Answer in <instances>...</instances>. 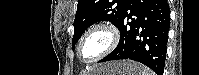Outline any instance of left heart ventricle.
Masks as SVG:
<instances>
[{
    "instance_id": "1",
    "label": "left heart ventricle",
    "mask_w": 199,
    "mask_h": 75,
    "mask_svg": "<svg viewBox=\"0 0 199 75\" xmlns=\"http://www.w3.org/2000/svg\"><path fill=\"white\" fill-rule=\"evenodd\" d=\"M107 44V37L101 33H93L85 39L81 46V57L89 61L96 57Z\"/></svg>"
}]
</instances>
